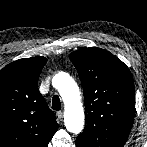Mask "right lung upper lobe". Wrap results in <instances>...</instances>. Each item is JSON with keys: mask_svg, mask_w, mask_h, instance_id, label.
Returning a JSON list of instances; mask_svg holds the SVG:
<instances>
[{"mask_svg": "<svg viewBox=\"0 0 147 147\" xmlns=\"http://www.w3.org/2000/svg\"><path fill=\"white\" fill-rule=\"evenodd\" d=\"M47 59L32 57L0 71V147H47L58 129L37 82Z\"/></svg>", "mask_w": 147, "mask_h": 147, "instance_id": "1", "label": "right lung upper lobe"}]
</instances>
